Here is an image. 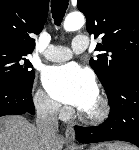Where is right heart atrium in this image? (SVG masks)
<instances>
[{
	"label": "right heart atrium",
	"instance_id": "right-heart-atrium-1",
	"mask_svg": "<svg viewBox=\"0 0 139 150\" xmlns=\"http://www.w3.org/2000/svg\"><path fill=\"white\" fill-rule=\"evenodd\" d=\"M37 111L44 116H57L62 112V107L46 92L39 89L33 98Z\"/></svg>",
	"mask_w": 139,
	"mask_h": 150
}]
</instances>
